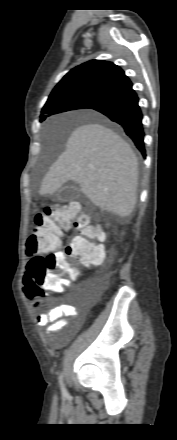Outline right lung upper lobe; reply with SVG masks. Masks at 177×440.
<instances>
[{
  "instance_id": "right-lung-upper-lobe-1",
  "label": "right lung upper lobe",
  "mask_w": 177,
  "mask_h": 440,
  "mask_svg": "<svg viewBox=\"0 0 177 440\" xmlns=\"http://www.w3.org/2000/svg\"><path fill=\"white\" fill-rule=\"evenodd\" d=\"M131 84L119 66L104 60H91L69 71L50 96L62 92H78L97 100Z\"/></svg>"
}]
</instances>
